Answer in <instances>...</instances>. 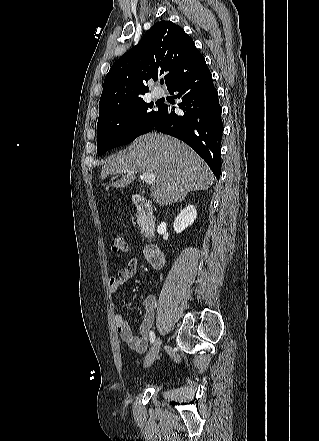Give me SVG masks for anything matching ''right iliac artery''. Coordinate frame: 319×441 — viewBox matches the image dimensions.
Listing matches in <instances>:
<instances>
[{
    "label": "right iliac artery",
    "instance_id": "obj_1",
    "mask_svg": "<svg viewBox=\"0 0 319 441\" xmlns=\"http://www.w3.org/2000/svg\"><path fill=\"white\" fill-rule=\"evenodd\" d=\"M154 341H155V334L153 331H150V342L154 343Z\"/></svg>",
    "mask_w": 319,
    "mask_h": 441
}]
</instances>
